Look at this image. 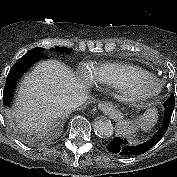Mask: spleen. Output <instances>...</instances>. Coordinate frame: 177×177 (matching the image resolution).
<instances>
[{"label":"spleen","mask_w":177,"mask_h":177,"mask_svg":"<svg viewBox=\"0 0 177 177\" xmlns=\"http://www.w3.org/2000/svg\"><path fill=\"white\" fill-rule=\"evenodd\" d=\"M158 114L154 108L148 109L141 117H139V125L145 132L150 130L157 122Z\"/></svg>","instance_id":"1"}]
</instances>
